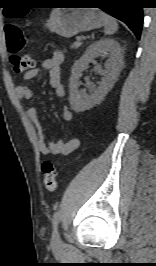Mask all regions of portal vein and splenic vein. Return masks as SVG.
I'll return each instance as SVG.
<instances>
[{"label":"portal vein and splenic vein","mask_w":156,"mask_h":266,"mask_svg":"<svg viewBox=\"0 0 156 266\" xmlns=\"http://www.w3.org/2000/svg\"><path fill=\"white\" fill-rule=\"evenodd\" d=\"M82 37H77V41H81Z\"/></svg>","instance_id":"portal-vein-and-splenic-vein-1"}]
</instances>
